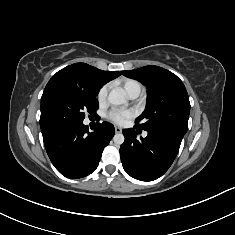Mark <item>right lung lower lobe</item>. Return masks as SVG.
Wrapping results in <instances>:
<instances>
[{
    "mask_svg": "<svg viewBox=\"0 0 235 235\" xmlns=\"http://www.w3.org/2000/svg\"><path fill=\"white\" fill-rule=\"evenodd\" d=\"M41 131L51 162L71 179L91 174L114 136V127L108 122L98 123L93 132H89L83 122L47 123L41 125Z\"/></svg>",
    "mask_w": 235,
    "mask_h": 235,
    "instance_id": "1",
    "label": "right lung lower lobe"
}]
</instances>
